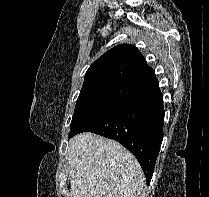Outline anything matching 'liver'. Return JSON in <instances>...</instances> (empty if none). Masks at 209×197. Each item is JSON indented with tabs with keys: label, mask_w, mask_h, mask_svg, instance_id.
<instances>
[{
	"label": "liver",
	"mask_w": 209,
	"mask_h": 197,
	"mask_svg": "<svg viewBox=\"0 0 209 197\" xmlns=\"http://www.w3.org/2000/svg\"><path fill=\"white\" fill-rule=\"evenodd\" d=\"M67 158L72 197H141V166L115 140L78 134L69 143Z\"/></svg>",
	"instance_id": "1"
}]
</instances>
